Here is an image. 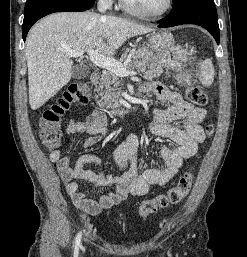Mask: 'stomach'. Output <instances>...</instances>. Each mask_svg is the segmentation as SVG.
<instances>
[{"instance_id":"obj_1","label":"stomach","mask_w":247,"mask_h":257,"mask_svg":"<svg viewBox=\"0 0 247 257\" xmlns=\"http://www.w3.org/2000/svg\"><path fill=\"white\" fill-rule=\"evenodd\" d=\"M137 57L145 61H155L169 69H178L187 60L188 51L177 43L170 32L153 33L148 45L140 47Z\"/></svg>"}]
</instances>
